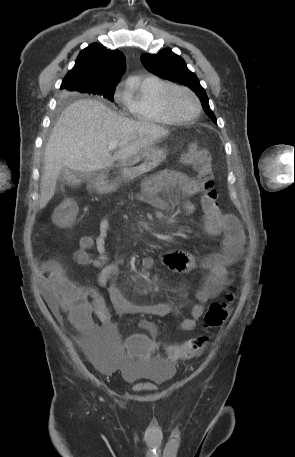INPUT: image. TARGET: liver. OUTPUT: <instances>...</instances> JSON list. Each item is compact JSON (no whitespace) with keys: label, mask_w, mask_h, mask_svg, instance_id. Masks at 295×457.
Returning a JSON list of instances; mask_svg holds the SVG:
<instances>
[{"label":"liver","mask_w":295,"mask_h":457,"mask_svg":"<svg viewBox=\"0 0 295 457\" xmlns=\"http://www.w3.org/2000/svg\"><path fill=\"white\" fill-rule=\"evenodd\" d=\"M168 134L154 123L126 119L99 101H75L63 111L45 147L40 209L54 196L62 168L81 173L100 171L152 147ZM110 142L120 146L113 155Z\"/></svg>","instance_id":"1"}]
</instances>
